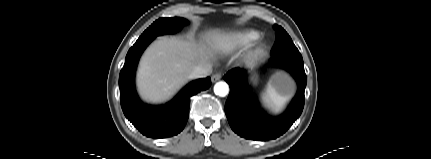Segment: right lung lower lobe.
Masks as SVG:
<instances>
[{
    "instance_id": "right-lung-lower-lobe-1",
    "label": "right lung lower lobe",
    "mask_w": 431,
    "mask_h": 159,
    "mask_svg": "<svg viewBox=\"0 0 431 159\" xmlns=\"http://www.w3.org/2000/svg\"><path fill=\"white\" fill-rule=\"evenodd\" d=\"M154 38L138 39L126 55L120 72L119 88L121 107L125 117L145 136L160 139L180 133L188 120L190 97L211 85L210 77L195 80L184 87L169 103L149 106L140 101L134 77L142 52Z\"/></svg>"
}]
</instances>
